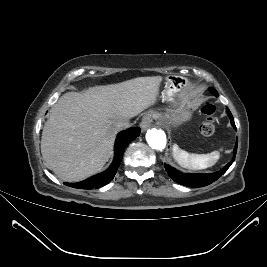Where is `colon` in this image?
<instances>
[{"mask_svg": "<svg viewBox=\"0 0 267 267\" xmlns=\"http://www.w3.org/2000/svg\"><path fill=\"white\" fill-rule=\"evenodd\" d=\"M203 114L206 116V120L202 123L200 127V132L203 136L210 137L214 135L216 131V124H215V106L210 103L206 102L202 108Z\"/></svg>", "mask_w": 267, "mask_h": 267, "instance_id": "colon-1", "label": "colon"}]
</instances>
